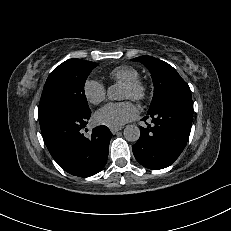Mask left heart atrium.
I'll return each instance as SVG.
<instances>
[{
	"label": "left heart atrium",
	"mask_w": 231,
	"mask_h": 231,
	"mask_svg": "<svg viewBox=\"0 0 231 231\" xmlns=\"http://www.w3.org/2000/svg\"><path fill=\"white\" fill-rule=\"evenodd\" d=\"M137 109L130 101L109 103L95 114V121L99 125L110 128H120L137 116Z\"/></svg>",
	"instance_id": "obj_1"
}]
</instances>
